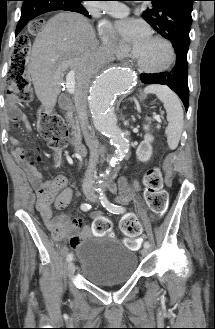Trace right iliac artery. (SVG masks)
Listing matches in <instances>:
<instances>
[{"label":"right iliac artery","mask_w":215,"mask_h":329,"mask_svg":"<svg viewBox=\"0 0 215 329\" xmlns=\"http://www.w3.org/2000/svg\"><path fill=\"white\" fill-rule=\"evenodd\" d=\"M91 207L92 206L90 204L84 203V204L81 205V210L88 211V210L91 209ZM72 259H73V254L72 253H69L67 255V261L70 262Z\"/></svg>","instance_id":"right-iliac-artery-1"}]
</instances>
